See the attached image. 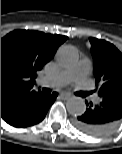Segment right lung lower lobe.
I'll return each mask as SVG.
<instances>
[{
    "label": "right lung lower lobe",
    "mask_w": 122,
    "mask_h": 154,
    "mask_svg": "<svg viewBox=\"0 0 122 154\" xmlns=\"http://www.w3.org/2000/svg\"><path fill=\"white\" fill-rule=\"evenodd\" d=\"M58 94L51 95L43 92L23 99L19 104L2 116V119L13 127L25 128L41 122Z\"/></svg>",
    "instance_id": "1"
}]
</instances>
